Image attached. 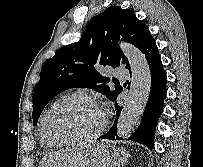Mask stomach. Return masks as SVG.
<instances>
[{
  "label": "stomach",
  "mask_w": 203,
  "mask_h": 167,
  "mask_svg": "<svg viewBox=\"0 0 203 167\" xmlns=\"http://www.w3.org/2000/svg\"><path fill=\"white\" fill-rule=\"evenodd\" d=\"M115 150L112 154L103 144L91 150L80 167H120L121 161L126 160L123 151Z\"/></svg>",
  "instance_id": "0dacf381"
}]
</instances>
